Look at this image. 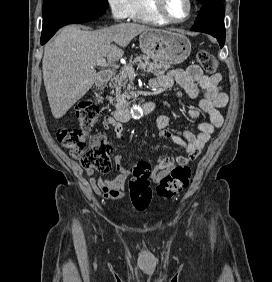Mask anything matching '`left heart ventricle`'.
<instances>
[{"instance_id": "obj_1", "label": "left heart ventricle", "mask_w": 272, "mask_h": 282, "mask_svg": "<svg viewBox=\"0 0 272 282\" xmlns=\"http://www.w3.org/2000/svg\"><path fill=\"white\" fill-rule=\"evenodd\" d=\"M164 6L169 15L175 19H182L187 14L186 0H164Z\"/></svg>"}]
</instances>
